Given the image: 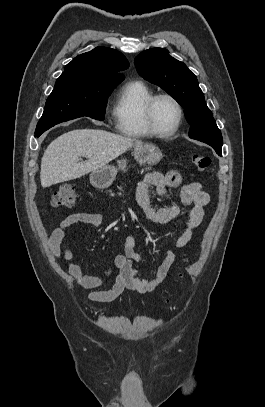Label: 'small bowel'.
<instances>
[{
    "label": "small bowel",
    "instance_id": "1",
    "mask_svg": "<svg viewBox=\"0 0 265 407\" xmlns=\"http://www.w3.org/2000/svg\"><path fill=\"white\" fill-rule=\"evenodd\" d=\"M155 187L159 194H165L170 187H180V197L183 205L189 207L183 233L175 240V248H183L191 241L195 230L204 217V208L210 201L209 195L202 189L199 182L182 185V177L177 171L166 174L151 172L138 183L136 200L145 216L158 224H165L179 215L177 206H166L155 209L150 202L149 188ZM86 224L99 227L102 216L97 213H73L61 221L50 236V249L56 258L62 257L67 263L69 276L82 288L90 290L88 298L95 303L106 304L116 300L125 290L139 293H151L157 290L167 277L176 260L174 251H167L164 259L157 267L153 277L141 279L134 263L142 262L137 251V241L134 236H127L124 240V251L115 258L114 267L117 274L112 287L103 288L112 278L111 270L102 275L86 274L80 265L74 263L73 253L69 248H61L67 232L76 224ZM96 310V308H94Z\"/></svg>",
    "mask_w": 265,
    "mask_h": 407
}]
</instances>
